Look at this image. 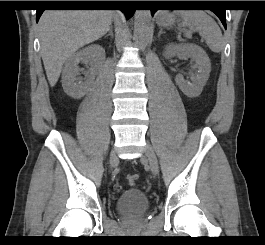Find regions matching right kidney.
Wrapping results in <instances>:
<instances>
[{
  "label": "right kidney",
  "instance_id": "ca27d5eb",
  "mask_svg": "<svg viewBox=\"0 0 265 245\" xmlns=\"http://www.w3.org/2000/svg\"><path fill=\"white\" fill-rule=\"evenodd\" d=\"M105 60V50L97 44H92L74 53L66 62L62 71V86L64 91L75 99L82 98L87 91L88 83L78 80V64L89 63L90 75L93 76ZM88 72V73H89Z\"/></svg>",
  "mask_w": 265,
  "mask_h": 245
}]
</instances>
